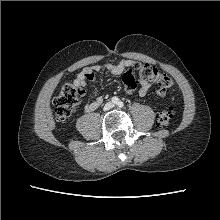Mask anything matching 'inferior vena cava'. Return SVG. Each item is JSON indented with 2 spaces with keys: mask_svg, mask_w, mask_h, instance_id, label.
<instances>
[{
  "mask_svg": "<svg viewBox=\"0 0 220 220\" xmlns=\"http://www.w3.org/2000/svg\"><path fill=\"white\" fill-rule=\"evenodd\" d=\"M114 107V105L111 102H108L105 106H104V111L110 110Z\"/></svg>",
  "mask_w": 220,
  "mask_h": 220,
  "instance_id": "1",
  "label": "inferior vena cava"
}]
</instances>
